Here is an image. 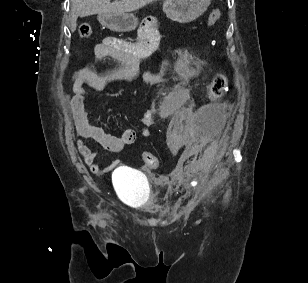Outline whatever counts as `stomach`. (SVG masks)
<instances>
[{
    "instance_id": "0dacf381",
    "label": "stomach",
    "mask_w": 308,
    "mask_h": 283,
    "mask_svg": "<svg viewBox=\"0 0 308 283\" xmlns=\"http://www.w3.org/2000/svg\"><path fill=\"white\" fill-rule=\"evenodd\" d=\"M211 0H165L163 11L170 19L179 23H189L201 16ZM99 22L108 29L116 32H129L138 25L133 14H100Z\"/></svg>"
}]
</instances>
